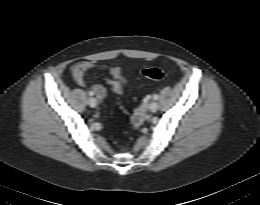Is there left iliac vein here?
Here are the masks:
<instances>
[{
  "mask_svg": "<svg viewBox=\"0 0 260 205\" xmlns=\"http://www.w3.org/2000/svg\"><path fill=\"white\" fill-rule=\"evenodd\" d=\"M158 109V103L156 101H152L149 105V110L151 112H156Z\"/></svg>",
  "mask_w": 260,
  "mask_h": 205,
  "instance_id": "obj_1",
  "label": "left iliac vein"
}]
</instances>
